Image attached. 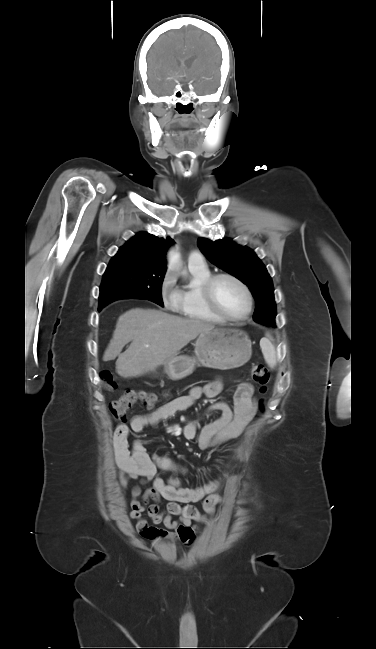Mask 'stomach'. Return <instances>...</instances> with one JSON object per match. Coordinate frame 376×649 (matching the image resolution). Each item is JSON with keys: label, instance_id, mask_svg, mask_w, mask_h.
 <instances>
[{"label": "stomach", "instance_id": "obj_1", "mask_svg": "<svg viewBox=\"0 0 376 649\" xmlns=\"http://www.w3.org/2000/svg\"><path fill=\"white\" fill-rule=\"evenodd\" d=\"M252 355L251 341L238 329H212L199 334L195 357L174 356L164 363V371L172 380L192 374L196 365L226 370L248 362Z\"/></svg>", "mask_w": 376, "mask_h": 649}]
</instances>
